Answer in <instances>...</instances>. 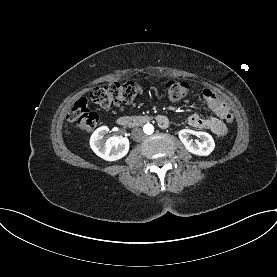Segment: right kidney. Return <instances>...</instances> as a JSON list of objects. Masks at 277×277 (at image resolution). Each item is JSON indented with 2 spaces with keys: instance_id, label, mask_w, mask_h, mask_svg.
<instances>
[{
  "instance_id": "1",
  "label": "right kidney",
  "mask_w": 277,
  "mask_h": 277,
  "mask_svg": "<svg viewBox=\"0 0 277 277\" xmlns=\"http://www.w3.org/2000/svg\"><path fill=\"white\" fill-rule=\"evenodd\" d=\"M109 131L107 126L97 128L91 138L90 146L94 153L106 161H116L127 155L129 151V140L119 136L104 139Z\"/></svg>"
}]
</instances>
